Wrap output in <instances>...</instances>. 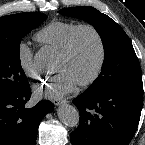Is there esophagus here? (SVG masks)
<instances>
[{
  "label": "esophagus",
  "mask_w": 145,
  "mask_h": 145,
  "mask_svg": "<svg viewBox=\"0 0 145 145\" xmlns=\"http://www.w3.org/2000/svg\"><path fill=\"white\" fill-rule=\"evenodd\" d=\"M52 102L54 105L59 106L61 104L66 103L67 101L65 99H53Z\"/></svg>",
  "instance_id": "34e87169"
}]
</instances>
